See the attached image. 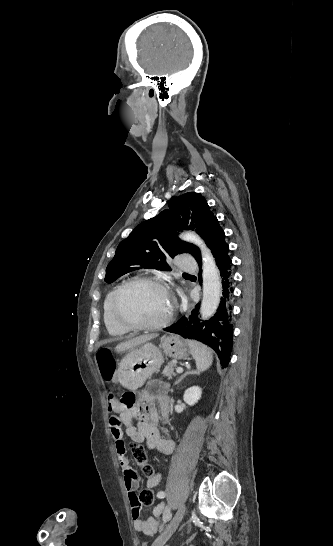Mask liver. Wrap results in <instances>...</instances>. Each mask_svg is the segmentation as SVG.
Returning a JSON list of instances; mask_svg holds the SVG:
<instances>
[{
  "label": "liver",
  "mask_w": 333,
  "mask_h": 546,
  "mask_svg": "<svg viewBox=\"0 0 333 546\" xmlns=\"http://www.w3.org/2000/svg\"><path fill=\"white\" fill-rule=\"evenodd\" d=\"M157 336L158 335H142V336H139V337H135L133 339H130L128 341H125L123 343L118 344L115 347V351L118 352V353L125 352V351H128V350L130 351L132 349H135L137 346L156 338Z\"/></svg>",
  "instance_id": "obj_1"
}]
</instances>
